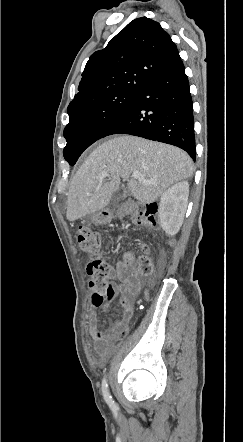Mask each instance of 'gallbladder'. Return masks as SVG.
Here are the masks:
<instances>
[{
	"label": "gallbladder",
	"mask_w": 243,
	"mask_h": 442,
	"mask_svg": "<svg viewBox=\"0 0 243 442\" xmlns=\"http://www.w3.org/2000/svg\"><path fill=\"white\" fill-rule=\"evenodd\" d=\"M122 190H123L122 197H126V196L128 195V189H127V187H123Z\"/></svg>",
	"instance_id": "obj_1"
}]
</instances>
